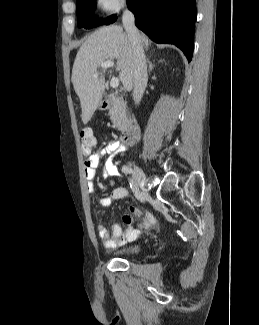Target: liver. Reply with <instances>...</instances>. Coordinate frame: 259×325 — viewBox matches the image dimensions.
Listing matches in <instances>:
<instances>
[{"instance_id":"1","label":"liver","mask_w":259,"mask_h":325,"mask_svg":"<svg viewBox=\"0 0 259 325\" xmlns=\"http://www.w3.org/2000/svg\"><path fill=\"white\" fill-rule=\"evenodd\" d=\"M141 43L149 47L148 38L140 35ZM117 60L116 70L124 88L134 85L132 45L127 32L118 25L102 27L88 36L81 45L72 69V83L80 99L82 121L87 124L99 107L105 91V78H93L97 69L107 60Z\"/></svg>"}]
</instances>
